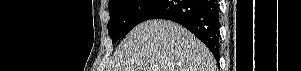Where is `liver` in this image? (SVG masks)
I'll return each mask as SVG.
<instances>
[{
    "label": "liver",
    "instance_id": "liver-1",
    "mask_svg": "<svg viewBox=\"0 0 301 71\" xmlns=\"http://www.w3.org/2000/svg\"><path fill=\"white\" fill-rule=\"evenodd\" d=\"M107 71H216L210 50L191 32L166 20L133 28Z\"/></svg>",
    "mask_w": 301,
    "mask_h": 71
}]
</instances>
